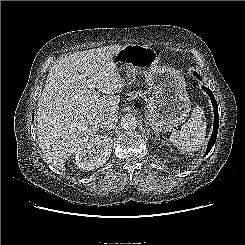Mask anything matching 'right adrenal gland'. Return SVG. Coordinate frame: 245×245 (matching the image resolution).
I'll return each instance as SVG.
<instances>
[{"label": "right adrenal gland", "mask_w": 245, "mask_h": 245, "mask_svg": "<svg viewBox=\"0 0 245 245\" xmlns=\"http://www.w3.org/2000/svg\"><path fill=\"white\" fill-rule=\"evenodd\" d=\"M103 132V131H102ZM105 134H110L112 136L113 131H104Z\"/></svg>", "instance_id": "2a0ac1e0"}]
</instances>
